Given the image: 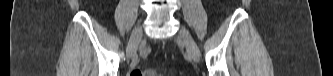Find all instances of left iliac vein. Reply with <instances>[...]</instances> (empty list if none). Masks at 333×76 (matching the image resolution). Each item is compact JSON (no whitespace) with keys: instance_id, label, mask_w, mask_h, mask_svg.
<instances>
[{"instance_id":"obj_1","label":"left iliac vein","mask_w":333,"mask_h":76,"mask_svg":"<svg viewBox=\"0 0 333 76\" xmlns=\"http://www.w3.org/2000/svg\"><path fill=\"white\" fill-rule=\"evenodd\" d=\"M178 37L182 39L187 52L191 55L192 59L198 62L200 59V51L190 32L186 28L181 27Z\"/></svg>"}]
</instances>
